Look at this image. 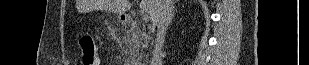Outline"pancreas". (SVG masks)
<instances>
[{
    "label": "pancreas",
    "instance_id": "cf45deb5",
    "mask_svg": "<svg viewBox=\"0 0 309 65\" xmlns=\"http://www.w3.org/2000/svg\"><path fill=\"white\" fill-rule=\"evenodd\" d=\"M151 37L144 28L135 24L130 34L129 56L136 61H141L143 53L148 50Z\"/></svg>",
    "mask_w": 309,
    "mask_h": 65
}]
</instances>
